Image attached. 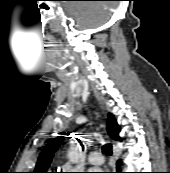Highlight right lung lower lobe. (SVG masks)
<instances>
[{
	"instance_id": "98d812e1",
	"label": "right lung lower lobe",
	"mask_w": 170,
	"mask_h": 173,
	"mask_svg": "<svg viewBox=\"0 0 170 173\" xmlns=\"http://www.w3.org/2000/svg\"><path fill=\"white\" fill-rule=\"evenodd\" d=\"M119 166H120V161L117 162V170L118 171L116 173H123V172L119 171Z\"/></svg>"
}]
</instances>
